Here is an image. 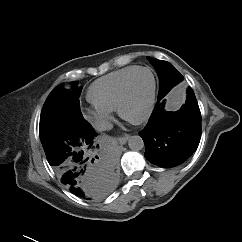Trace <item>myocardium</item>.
I'll list each match as a JSON object with an SVG mask.
<instances>
[{"mask_svg": "<svg viewBox=\"0 0 242 242\" xmlns=\"http://www.w3.org/2000/svg\"><path fill=\"white\" fill-rule=\"evenodd\" d=\"M141 71H147L150 73L151 77H152V90H151V94H150V98L147 104V107L145 109V111L137 118H130L128 117L125 112H124V106L128 97V93H129V89H130V85L131 82L134 78V76ZM156 94H157V79H156V75L155 73L148 67H138L136 68L125 80L119 98H118V103H117V112L119 114V116L124 119L125 121L134 124V125H139L144 123L145 121H147L154 109L155 106V102H156Z\"/></svg>", "mask_w": 242, "mask_h": 242, "instance_id": "1", "label": "myocardium"}]
</instances>
